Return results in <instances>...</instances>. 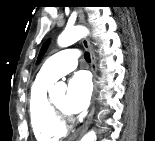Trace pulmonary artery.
I'll list each match as a JSON object with an SVG mask.
<instances>
[{"label": "pulmonary artery", "instance_id": "e3ab8cb5", "mask_svg": "<svg viewBox=\"0 0 155 141\" xmlns=\"http://www.w3.org/2000/svg\"><path fill=\"white\" fill-rule=\"evenodd\" d=\"M79 55L74 48L59 51L47 60L37 78L49 81L57 80L76 68Z\"/></svg>", "mask_w": 155, "mask_h": 141}]
</instances>
